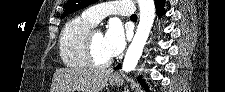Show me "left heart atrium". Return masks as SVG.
<instances>
[{
  "instance_id": "1",
  "label": "left heart atrium",
  "mask_w": 225,
  "mask_h": 92,
  "mask_svg": "<svg viewBox=\"0 0 225 92\" xmlns=\"http://www.w3.org/2000/svg\"><path fill=\"white\" fill-rule=\"evenodd\" d=\"M125 42L126 38L122 24L117 20L112 21L104 34V47L107 55L110 58L119 55L124 49Z\"/></svg>"
}]
</instances>
